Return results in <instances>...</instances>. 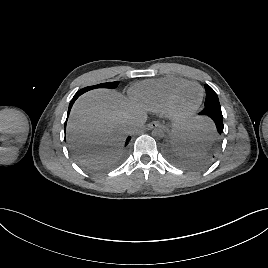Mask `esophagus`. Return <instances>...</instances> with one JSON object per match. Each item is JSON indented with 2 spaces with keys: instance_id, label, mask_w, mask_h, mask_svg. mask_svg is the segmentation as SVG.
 Segmentation results:
<instances>
[{
  "instance_id": "34e87169",
  "label": "esophagus",
  "mask_w": 268,
  "mask_h": 268,
  "mask_svg": "<svg viewBox=\"0 0 268 268\" xmlns=\"http://www.w3.org/2000/svg\"><path fill=\"white\" fill-rule=\"evenodd\" d=\"M147 126H148L149 129H154V128H157V127H161V124L159 122H157V121H152Z\"/></svg>"
}]
</instances>
